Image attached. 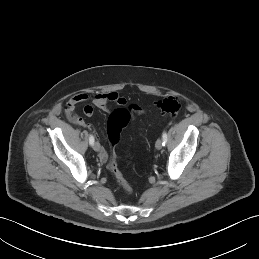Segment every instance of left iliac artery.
Segmentation results:
<instances>
[{
    "mask_svg": "<svg viewBox=\"0 0 259 259\" xmlns=\"http://www.w3.org/2000/svg\"><path fill=\"white\" fill-rule=\"evenodd\" d=\"M162 138H163V143L162 145L165 146L167 143V133L164 131L162 134Z\"/></svg>",
    "mask_w": 259,
    "mask_h": 259,
    "instance_id": "44dca946",
    "label": "left iliac artery"
}]
</instances>
